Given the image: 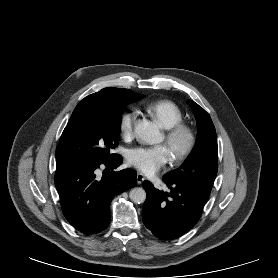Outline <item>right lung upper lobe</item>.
Segmentation results:
<instances>
[{
	"mask_svg": "<svg viewBox=\"0 0 278 278\" xmlns=\"http://www.w3.org/2000/svg\"><path fill=\"white\" fill-rule=\"evenodd\" d=\"M139 94H136L128 89L121 88H104L99 92L85 97L83 100H94L100 103L114 102L118 99H131Z\"/></svg>",
	"mask_w": 278,
	"mask_h": 278,
	"instance_id": "right-lung-upper-lobe-1",
	"label": "right lung upper lobe"
}]
</instances>
